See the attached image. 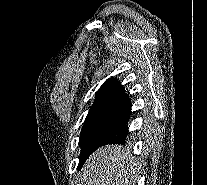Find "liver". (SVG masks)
Wrapping results in <instances>:
<instances>
[{
    "label": "liver",
    "mask_w": 207,
    "mask_h": 185,
    "mask_svg": "<svg viewBox=\"0 0 207 185\" xmlns=\"http://www.w3.org/2000/svg\"><path fill=\"white\" fill-rule=\"evenodd\" d=\"M84 167V185H138L137 159L124 145L97 149Z\"/></svg>",
    "instance_id": "liver-1"
}]
</instances>
